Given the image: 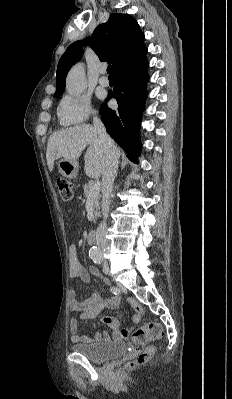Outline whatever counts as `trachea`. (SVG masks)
Masks as SVG:
<instances>
[{"instance_id": "3493384b", "label": "trachea", "mask_w": 232, "mask_h": 399, "mask_svg": "<svg viewBox=\"0 0 232 399\" xmlns=\"http://www.w3.org/2000/svg\"><path fill=\"white\" fill-rule=\"evenodd\" d=\"M107 73L109 74V77H114V75L112 73V66L111 65L108 66Z\"/></svg>"}]
</instances>
